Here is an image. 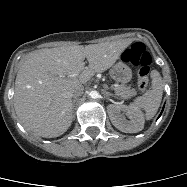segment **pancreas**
<instances>
[{
    "label": "pancreas",
    "mask_w": 187,
    "mask_h": 187,
    "mask_svg": "<svg viewBox=\"0 0 187 187\" xmlns=\"http://www.w3.org/2000/svg\"><path fill=\"white\" fill-rule=\"evenodd\" d=\"M115 94L123 99H128L137 94L135 89H131L129 86L116 85L114 87Z\"/></svg>",
    "instance_id": "1"
}]
</instances>
